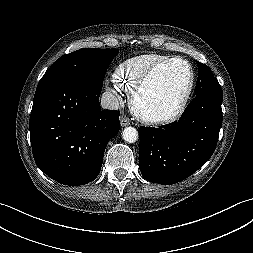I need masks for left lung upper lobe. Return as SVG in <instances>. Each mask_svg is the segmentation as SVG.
Returning a JSON list of instances; mask_svg holds the SVG:
<instances>
[{
    "mask_svg": "<svg viewBox=\"0 0 253 253\" xmlns=\"http://www.w3.org/2000/svg\"><path fill=\"white\" fill-rule=\"evenodd\" d=\"M198 66V78L195 87V95L216 94L222 95V89L217 79L214 77L211 69L200 62H196Z\"/></svg>",
    "mask_w": 253,
    "mask_h": 253,
    "instance_id": "obj_1",
    "label": "left lung upper lobe"
}]
</instances>
